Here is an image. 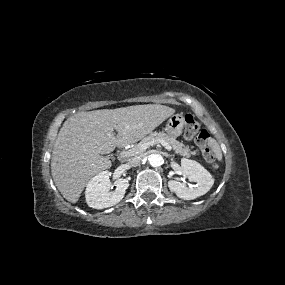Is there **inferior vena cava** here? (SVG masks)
<instances>
[{"mask_svg":"<svg viewBox=\"0 0 285 285\" xmlns=\"http://www.w3.org/2000/svg\"><path fill=\"white\" fill-rule=\"evenodd\" d=\"M140 163H141V157H140V156H134V157H132V158H130V159L128 160V164H129V166H131V167H136V166H138Z\"/></svg>","mask_w":285,"mask_h":285,"instance_id":"602c4592","label":"inferior vena cava"}]
</instances>
